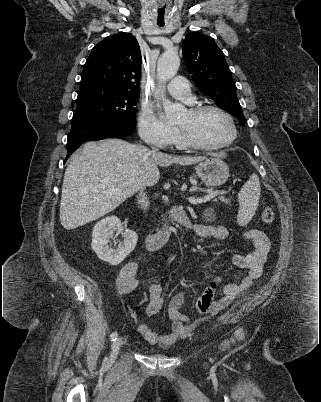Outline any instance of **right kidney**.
<instances>
[{"label": "right kidney", "instance_id": "ca27d5eb", "mask_svg": "<svg viewBox=\"0 0 321 402\" xmlns=\"http://www.w3.org/2000/svg\"><path fill=\"white\" fill-rule=\"evenodd\" d=\"M115 231L124 237L117 249L108 246ZM137 240V234L132 230L124 229L120 219L116 216H108L95 224L91 246L100 260L110 265H118L134 250Z\"/></svg>", "mask_w": 321, "mask_h": 402}]
</instances>
